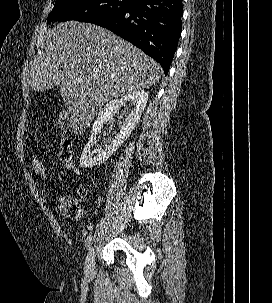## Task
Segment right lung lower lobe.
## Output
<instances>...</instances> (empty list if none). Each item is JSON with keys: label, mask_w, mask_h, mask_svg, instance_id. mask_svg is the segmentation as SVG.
Masks as SVG:
<instances>
[{"label": "right lung lower lobe", "mask_w": 272, "mask_h": 303, "mask_svg": "<svg viewBox=\"0 0 272 303\" xmlns=\"http://www.w3.org/2000/svg\"><path fill=\"white\" fill-rule=\"evenodd\" d=\"M182 0H134L93 24L111 30L158 61L167 74L182 31Z\"/></svg>", "instance_id": "right-lung-lower-lobe-1"}]
</instances>
